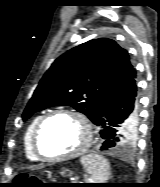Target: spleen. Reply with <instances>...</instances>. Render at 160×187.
<instances>
[{
    "label": "spleen",
    "mask_w": 160,
    "mask_h": 187,
    "mask_svg": "<svg viewBox=\"0 0 160 187\" xmlns=\"http://www.w3.org/2000/svg\"><path fill=\"white\" fill-rule=\"evenodd\" d=\"M81 163L87 173L91 175L93 183H105L109 178V163L98 154H88L81 158Z\"/></svg>",
    "instance_id": "obj_1"
}]
</instances>
